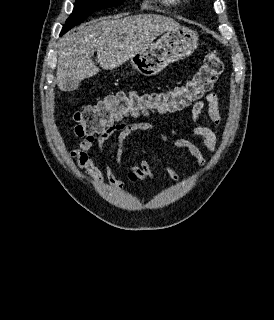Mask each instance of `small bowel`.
I'll list each match as a JSON object with an SVG mask.
<instances>
[{
  "instance_id": "c3829d8e",
  "label": "small bowel",
  "mask_w": 274,
  "mask_h": 320,
  "mask_svg": "<svg viewBox=\"0 0 274 320\" xmlns=\"http://www.w3.org/2000/svg\"><path fill=\"white\" fill-rule=\"evenodd\" d=\"M204 110H206L213 124L220 125L222 116L216 94H208L203 100L196 101L191 107V118L194 123L193 134L200 139L210 154H214L217 148V137L213 129L202 121ZM138 131H156V127L147 122H122L116 127L105 129L97 134L87 135L81 139L77 148L71 151V157L76 159L78 168L85 171L91 180L99 183L106 181L110 186L122 190L124 183L116 177L112 167L107 163H103L100 168L95 164L93 158V152H96L100 157L104 156L106 142L114 133H117L114 153L116 166L124 171L135 173L143 180L155 182V173L147 160H141L138 165L126 164L123 160L125 141L130 135ZM173 146L186 149L196 159L199 167L203 168L206 166L207 161L202 151L193 142L180 138L173 141ZM165 171L171 180L181 182V176L171 167L167 166Z\"/></svg>"
}]
</instances>
